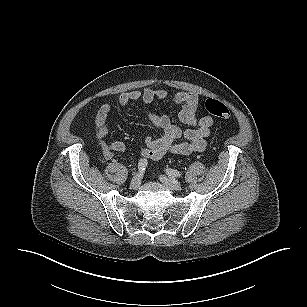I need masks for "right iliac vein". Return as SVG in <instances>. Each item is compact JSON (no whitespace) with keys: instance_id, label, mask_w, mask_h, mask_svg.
Segmentation results:
<instances>
[{"instance_id":"63e3f726","label":"right iliac vein","mask_w":307,"mask_h":307,"mask_svg":"<svg viewBox=\"0 0 307 307\" xmlns=\"http://www.w3.org/2000/svg\"><path fill=\"white\" fill-rule=\"evenodd\" d=\"M139 185H140V175H139V174H136V175L132 178V180H131V182H130V188H131V189H137V188L139 187Z\"/></svg>"}]
</instances>
